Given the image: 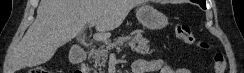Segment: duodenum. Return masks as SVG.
Here are the masks:
<instances>
[{"mask_svg":"<svg viewBox=\"0 0 244 73\" xmlns=\"http://www.w3.org/2000/svg\"><path fill=\"white\" fill-rule=\"evenodd\" d=\"M89 48L86 45H76L70 52V61L74 65H81L89 54ZM79 73H85L80 71Z\"/></svg>","mask_w":244,"mask_h":73,"instance_id":"obj_1","label":"duodenum"}]
</instances>
